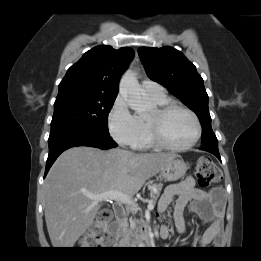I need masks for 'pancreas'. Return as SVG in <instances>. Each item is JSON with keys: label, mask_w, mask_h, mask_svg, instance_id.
I'll return each instance as SVG.
<instances>
[{"label": "pancreas", "mask_w": 261, "mask_h": 261, "mask_svg": "<svg viewBox=\"0 0 261 261\" xmlns=\"http://www.w3.org/2000/svg\"><path fill=\"white\" fill-rule=\"evenodd\" d=\"M163 184L161 183H152L150 184V188H151V198L153 203L156 202V200L158 199V197L160 196V192L162 190ZM139 221L136 219H133L132 217L129 218H124L123 219V223H122V231L120 232V236H131L133 235L135 229H136V225Z\"/></svg>", "instance_id": "pancreas-1"}]
</instances>
